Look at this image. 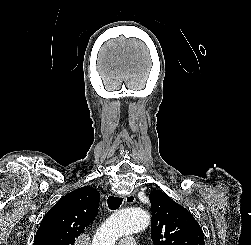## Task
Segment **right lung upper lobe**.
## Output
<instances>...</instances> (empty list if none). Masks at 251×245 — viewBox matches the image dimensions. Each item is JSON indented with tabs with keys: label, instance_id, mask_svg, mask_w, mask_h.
Listing matches in <instances>:
<instances>
[{
	"label": "right lung upper lobe",
	"instance_id": "1",
	"mask_svg": "<svg viewBox=\"0 0 251 245\" xmlns=\"http://www.w3.org/2000/svg\"><path fill=\"white\" fill-rule=\"evenodd\" d=\"M100 194L90 186L62 197L43 217L33 245H74L75 238L95 220Z\"/></svg>",
	"mask_w": 251,
	"mask_h": 245
}]
</instances>
